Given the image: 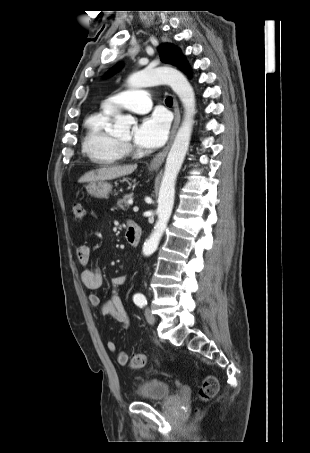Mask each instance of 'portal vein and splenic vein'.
<instances>
[{"mask_svg":"<svg viewBox=\"0 0 310 453\" xmlns=\"http://www.w3.org/2000/svg\"><path fill=\"white\" fill-rule=\"evenodd\" d=\"M128 203H129V204H132L133 201L130 200V201H128ZM138 210H139V208H138L137 206H134V207H133V211H134V212H137Z\"/></svg>","mask_w":310,"mask_h":453,"instance_id":"portal-vein-and-splenic-vein-1","label":"portal vein and splenic vein"}]
</instances>
